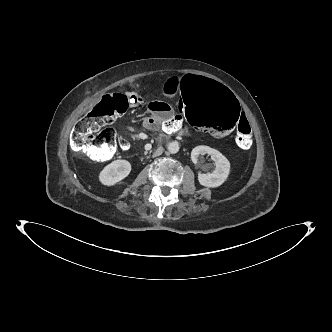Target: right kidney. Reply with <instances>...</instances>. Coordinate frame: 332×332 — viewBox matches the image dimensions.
<instances>
[{"label":"right kidney","mask_w":332,"mask_h":332,"mask_svg":"<svg viewBox=\"0 0 332 332\" xmlns=\"http://www.w3.org/2000/svg\"><path fill=\"white\" fill-rule=\"evenodd\" d=\"M131 172V164L119 159L111 162L99 173V181L105 186H113L126 178Z\"/></svg>","instance_id":"obj_1"}]
</instances>
